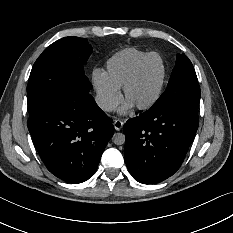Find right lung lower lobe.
Here are the masks:
<instances>
[{"instance_id": "98d812e1", "label": "right lung lower lobe", "mask_w": 233, "mask_h": 233, "mask_svg": "<svg viewBox=\"0 0 233 233\" xmlns=\"http://www.w3.org/2000/svg\"><path fill=\"white\" fill-rule=\"evenodd\" d=\"M27 126L47 169L81 183L97 169L114 126L89 91L73 88L50 107L30 115Z\"/></svg>"}]
</instances>
